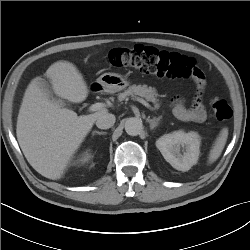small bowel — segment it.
Here are the masks:
<instances>
[{
  "label": "small bowel",
  "instance_id": "small-bowel-1",
  "mask_svg": "<svg viewBox=\"0 0 250 250\" xmlns=\"http://www.w3.org/2000/svg\"><path fill=\"white\" fill-rule=\"evenodd\" d=\"M174 115L183 121L203 122L207 118L206 110L200 100H195L191 108H187L179 99L172 102Z\"/></svg>",
  "mask_w": 250,
  "mask_h": 250
}]
</instances>
